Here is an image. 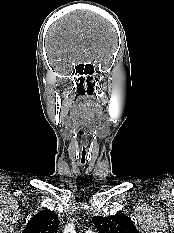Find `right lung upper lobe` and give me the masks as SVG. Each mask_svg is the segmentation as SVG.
<instances>
[{"instance_id": "1", "label": "right lung upper lobe", "mask_w": 174, "mask_h": 233, "mask_svg": "<svg viewBox=\"0 0 174 233\" xmlns=\"http://www.w3.org/2000/svg\"><path fill=\"white\" fill-rule=\"evenodd\" d=\"M58 216L50 210H42L33 216L22 233H57Z\"/></svg>"}]
</instances>
